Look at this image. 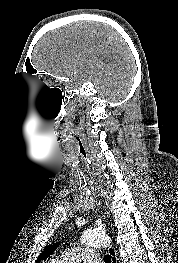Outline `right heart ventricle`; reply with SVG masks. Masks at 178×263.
Wrapping results in <instances>:
<instances>
[{"mask_svg":"<svg viewBox=\"0 0 178 263\" xmlns=\"http://www.w3.org/2000/svg\"><path fill=\"white\" fill-rule=\"evenodd\" d=\"M48 263H60V262H58L56 259H52Z\"/></svg>","mask_w":178,"mask_h":263,"instance_id":"e07e8e85","label":"right heart ventricle"}]
</instances>
